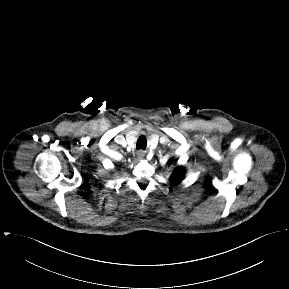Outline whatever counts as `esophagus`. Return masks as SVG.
<instances>
[{"instance_id":"esophagus-1","label":"esophagus","mask_w":289,"mask_h":289,"mask_svg":"<svg viewBox=\"0 0 289 289\" xmlns=\"http://www.w3.org/2000/svg\"><path fill=\"white\" fill-rule=\"evenodd\" d=\"M146 152L144 150H139L137 152L138 158L142 159L145 156Z\"/></svg>"}]
</instances>
